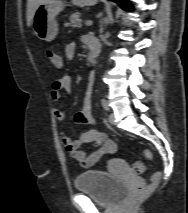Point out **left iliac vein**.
I'll list each match as a JSON object with an SVG mask.
<instances>
[{"mask_svg": "<svg viewBox=\"0 0 188 213\" xmlns=\"http://www.w3.org/2000/svg\"><path fill=\"white\" fill-rule=\"evenodd\" d=\"M109 122H110V124H112V125L115 124V116H114L113 113H111V114L109 115Z\"/></svg>", "mask_w": 188, "mask_h": 213, "instance_id": "1", "label": "left iliac vein"}]
</instances>
